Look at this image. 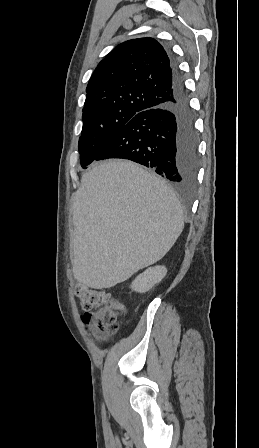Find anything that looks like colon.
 <instances>
[{
  "label": "colon",
  "instance_id": "colon-1",
  "mask_svg": "<svg viewBox=\"0 0 259 448\" xmlns=\"http://www.w3.org/2000/svg\"><path fill=\"white\" fill-rule=\"evenodd\" d=\"M83 321L100 337H109L118 330V318L125 315V305L109 292L87 286L76 290Z\"/></svg>",
  "mask_w": 259,
  "mask_h": 448
}]
</instances>
